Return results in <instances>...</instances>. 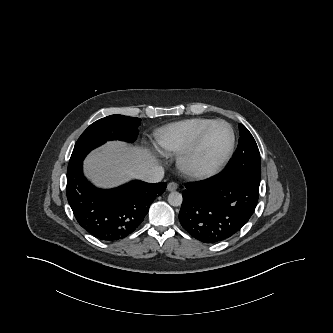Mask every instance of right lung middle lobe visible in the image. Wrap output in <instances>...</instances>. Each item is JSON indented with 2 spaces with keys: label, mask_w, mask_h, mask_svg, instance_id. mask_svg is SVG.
Segmentation results:
<instances>
[{
  "label": "right lung middle lobe",
  "mask_w": 333,
  "mask_h": 333,
  "mask_svg": "<svg viewBox=\"0 0 333 333\" xmlns=\"http://www.w3.org/2000/svg\"><path fill=\"white\" fill-rule=\"evenodd\" d=\"M141 119L123 115H111L91 124L79 137L73 149L68 169L81 163L94 148L109 140L134 142L138 136Z\"/></svg>",
  "instance_id": "1"
}]
</instances>
